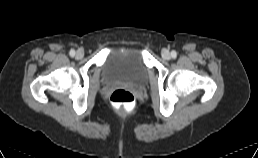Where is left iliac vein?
<instances>
[{
  "label": "left iliac vein",
  "mask_w": 258,
  "mask_h": 158,
  "mask_svg": "<svg viewBox=\"0 0 258 158\" xmlns=\"http://www.w3.org/2000/svg\"><path fill=\"white\" fill-rule=\"evenodd\" d=\"M162 57L165 60H169L171 58V54L167 49L162 50Z\"/></svg>",
  "instance_id": "1"
}]
</instances>
